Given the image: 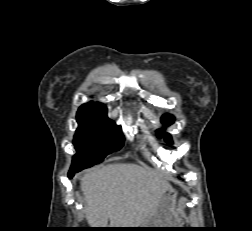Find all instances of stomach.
I'll return each mask as SVG.
<instances>
[{"label": "stomach", "mask_w": 252, "mask_h": 231, "mask_svg": "<svg viewBox=\"0 0 252 231\" xmlns=\"http://www.w3.org/2000/svg\"><path fill=\"white\" fill-rule=\"evenodd\" d=\"M175 194L168 189L159 199L158 204L151 217L138 228L142 231H172L174 229H154V228H179L178 219L175 216Z\"/></svg>", "instance_id": "1"}]
</instances>
